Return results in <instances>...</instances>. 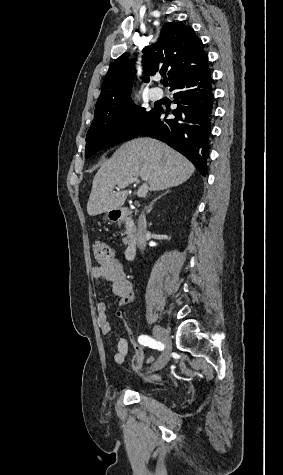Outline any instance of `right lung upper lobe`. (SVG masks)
I'll use <instances>...</instances> for the list:
<instances>
[{
  "mask_svg": "<svg viewBox=\"0 0 283 475\" xmlns=\"http://www.w3.org/2000/svg\"><path fill=\"white\" fill-rule=\"evenodd\" d=\"M144 82L156 72L167 74L170 87L178 81L209 68L203 44L193 28L182 22L163 25L157 43L143 50ZM133 63L124 53L109 66L104 78L96 108L122 104L130 101L129 91L134 73Z\"/></svg>",
  "mask_w": 283,
  "mask_h": 475,
  "instance_id": "1",
  "label": "right lung upper lobe"
}]
</instances>
